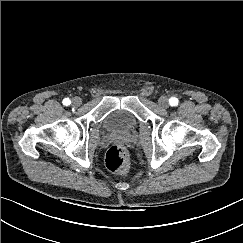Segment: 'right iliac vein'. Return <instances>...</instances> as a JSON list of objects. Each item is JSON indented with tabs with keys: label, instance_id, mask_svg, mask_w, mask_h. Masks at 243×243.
<instances>
[{
	"label": "right iliac vein",
	"instance_id": "right-iliac-vein-1",
	"mask_svg": "<svg viewBox=\"0 0 243 243\" xmlns=\"http://www.w3.org/2000/svg\"><path fill=\"white\" fill-rule=\"evenodd\" d=\"M81 103H82V99H81L80 97H74V98L72 99V105H73L74 107H78V106H80Z\"/></svg>",
	"mask_w": 243,
	"mask_h": 243
}]
</instances>
